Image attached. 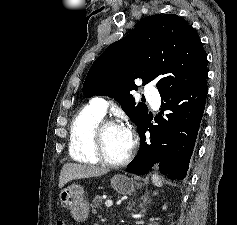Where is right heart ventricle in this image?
<instances>
[{"label":"right heart ventricle","instance_id":"obj_1","mask_svg":"<svg viewBox=\"0 0 237 225\" xmlns=\"http://www.w3.org/2000/svg\"><path fill=\"white\" fill-rule=\"evenodd\" d=\"M104 114L94 103L82 107L75 115L70 126L69 154L77 162L97 164L92 140L95 125L102 120Z\"/></svg>","mask_w":237,"mask_h":225}]
</instances>
